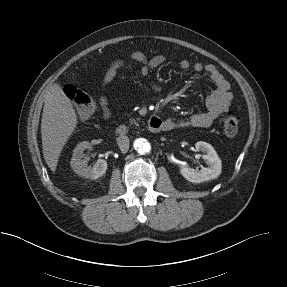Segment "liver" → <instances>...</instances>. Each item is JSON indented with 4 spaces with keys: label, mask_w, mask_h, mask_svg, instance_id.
<instances>
[{
    "label": "liver",
    "mask_w": 287,
    "mask_h": 287,
    "mask_svg": "<svg viewBox=\"0 0 287 287\" xmlns=\"http://www.w3.org/2000/svg\"><path fill=\"white\" fill-rule=\"evenodd\" d=\"M77 114L62 87L54 83L45 94L41 119L42 149L46 164L55 172L61 151L77 126Z\"/></svg>",
    "instance_id": "1"
}]
</instances>
